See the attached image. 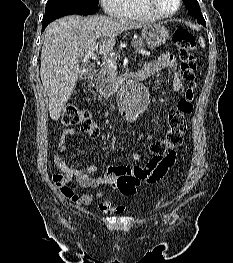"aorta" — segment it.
<instances>
[{
    "instance_id": "obj_1",
    "label": "aorta",
    "mask_w": 233,
    "mask_h": 263,
    "mask_svg": "<svg viewBox=\"0 0 233 263\" xmlns=\"http://www.w3.org/2000/svg\"><path fill=\"white\" fill-rule=\"evenodd\" d=\"M147 92L145 87L135 81L127 82L121 92L120 106L126 116L137 119L145 110Z\"/></svg>"
}]
</instances>
